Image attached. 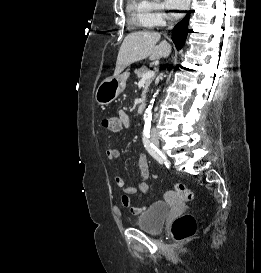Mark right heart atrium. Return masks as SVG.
Wrapping results in <instances>:
<instances>
[{
	"label": "right heart atrium",
	"mask_w": 261,
	"mask_h": 273,
	"mask_svg": "<svg viewBox=\"0 0 261 273\" xmlns=\"http://www.w3.org/2000/svg\"><path fill=\"white\" fill-rule=\"evenodd\" d=\"M148 17L153 27L161 26L169 18V15L164 11V6L157 1H149Z\"/></svg>",
	"instance_id": "right-heart-atrium-1"
}]
</instances>
